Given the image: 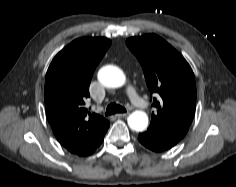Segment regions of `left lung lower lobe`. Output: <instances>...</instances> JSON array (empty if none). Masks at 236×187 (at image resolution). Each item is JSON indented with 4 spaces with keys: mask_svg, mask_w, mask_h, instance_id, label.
<instances>
[{
    "mask_svg": "<svg viewBox=\"0 0 236 187\" xmlns=\"http://www.w3.org/2000/svg\"><path fill=\"white\" fill-rule=\"evenodd\" d=\"M138 140L146 148L155 152L168 150L178 143L175 140L152 132L140 133Z\"/></svg>",
    "mask_w": 236,
    "mask_h": 187,
    "instance_id": "1",
    "label": "left lung lower lobe"
}]
</instances>
